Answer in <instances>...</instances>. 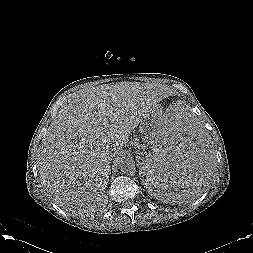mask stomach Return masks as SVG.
I'll return each mask as SVG.
<instances>
[{
  "label": "stomach",
  "mask_w": 253,
  "mask_h": 253,
  "mask_svg": "<svg viewBox=\"0 0 253 253\" xmlns=\"http://www.w3.org/2000/svg\"><path fill=\"white\" fill-rule=\"evenodd\" d=\"M163 111L158 106L142 120L140 124L141 139L144 143H151L154 132L157 128L160 118L163 116Z\"/></svg>",
  "instance_id": "1"
}]
</instances>
